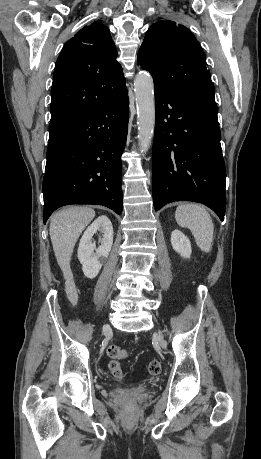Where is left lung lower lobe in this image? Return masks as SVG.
Here are the masks:
<instances>
[{
  "label": "left lung lower lobe",
  "mask_w": 261,
  "mask_h": 459,
  "mask_svg": "<svg viewBox=\"0 0 261 459\" xmlns=\"http://www.w3.org/2000/svg\"><path fill=\"white\" fill-rule=\"evenodd\" d=\"M152 191L155 210L177 200L210 207L221 220L226 170L216 102L154 87Z\"/></svg>",
  "instance_id": "1"
}]
</instances>
